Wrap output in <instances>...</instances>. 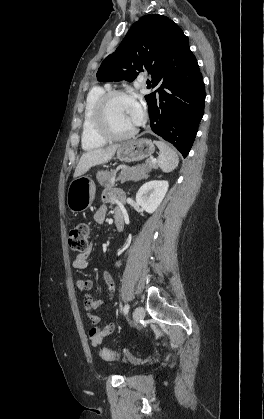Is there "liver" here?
<instances>
[{"label":"liver","instance_id":"6515ba94","mask_svg":"<svg viewBox=\"0 0 264 419\" xmlns=\"http://www.w3.org/2000/svg\"><path fill=\"white\" fill-rule=\"evenodd\" d=\"M119 145H111L107 148L89 150L82 154L74 172V178L85 174L91 167L110 161Z\"/></svg>","mask_w":264,"mask_h":419}]
</instances>
